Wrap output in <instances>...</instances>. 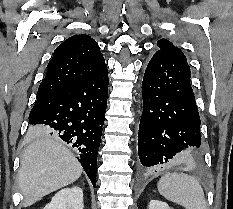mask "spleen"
<instances>
[{
    "mask_svg": "<svg viewBox=\"0 0 233 209\" xmlns=\"http://www.w3.org/2000/svg\"><path fill=\"white\" fill-rule=\"evenodd\" d=\"M158 190L167 200L186 209H207L201 185L194 177L187 174H165L158 182Z\"/></svg>",
    "mask_w": 233,
    "mask_h": 209,
    "instance_id": "spleen-1",
    "label": "spleen"
}]
</instances>
